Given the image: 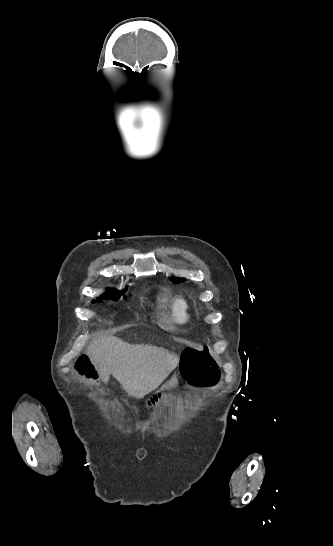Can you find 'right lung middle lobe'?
Instances as JSON below:
<instances>
[{
	"label": "right lung middle lobe",
	"instance_id": "right-lung-middle-lobe-1",
	"mask_svg": "<svg viewBox=\"0 0 333 546\" xmlns=\"http://www.w3.org/2000/svg\"><path fill=\"white\" fill-rule=\"evenodd\" d=\"M127 289L123 290V291H118L116 289H110L108 288L107 289V292L104 293L103 295H101L102 298H104L105 300L107 299H111L113 301H117L121 295H123L125 292H126ZM124 298H126V296L124 295L123 296ZM97 302H102V299L101 298H98L97 299Z\"/></svg>",
	"mask_w": 333,
	"mask_h": 546
}]
</instances>
